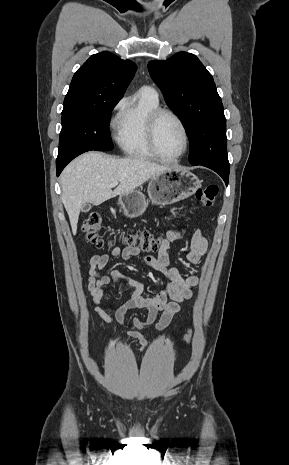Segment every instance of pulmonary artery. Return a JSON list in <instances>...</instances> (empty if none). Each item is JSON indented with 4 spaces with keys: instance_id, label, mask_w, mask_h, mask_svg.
Returning a JSON list of instances; mask_svg holds the SVG:
<instances>
[{
    "instance_id": "1",
    "label": "pulmonary artery",
    "mask_w": 289,
    "mask_h": 465,
    "mask_svg": "<svg viewBox=\"0 0 289 465\" xmlns=\"http://www.w3.org/2000/svg\"><path fill=\"white\" fill-rule=\"evenodd\" d=\"M144 88H148V89L152 90L153 92H155V90L152 89V88H150V87H144ZM155 93H156V92H155Z\"/></svg>"
}]
</instances>
